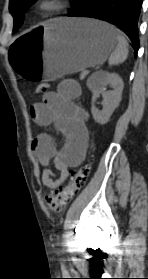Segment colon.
Returning a JSON list of instances; mask_svg holds the SVG:
<instances>
[{"instance_id": "colon-1", "label": "colon", "mask_w": 148, "mask_h": 279, "mask_svg": "<svg viewBox=\"0 0 148 279\" xmlns=\"http://www.w3.org/2000/svg\"><path fill=\"white\" fill-rule=\"evenodd\" d=\"M49 87L48 83H40L36 86L35 92L38 94L47 93ZM91 162L92 160L88 159L82 166L71 170L68 182L49 193L46 200L51 211L60 213L67 203L82 189L88 177Z\"/></svg>"}]
</instances>
